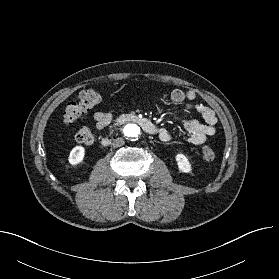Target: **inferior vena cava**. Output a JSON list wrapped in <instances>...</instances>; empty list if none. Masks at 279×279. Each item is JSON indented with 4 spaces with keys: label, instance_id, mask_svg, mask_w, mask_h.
Masks as SVG:
<instances>
[{
    "label": "inferior vena cava",
    "instance_id": "1",
    "mask_svg": "<svg viewBox=\"0 0 279 279\" xmlns=\"http://www.w3.org/2000/svg\"><path fill=\"white\" fill-rule=\"evenodd\" d=\"M124 143H125L124 139L120 137L113 140L112 146L117 148L124 145Z\"/></svg>",
    "mask_w": 279,
    "mask_h": 279
}]
</instances>
